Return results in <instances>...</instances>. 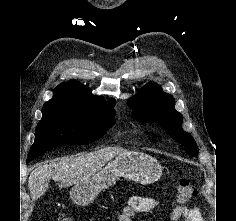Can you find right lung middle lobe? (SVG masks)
I'll return each mask as SVG.
<instances>
[{"label":"right lung middle lobe","instance_id":"obj_1","mask_svg":"<svg viewBox=\"0 0 236 221\" xmlns=\"http://www.w3.org/2000/svg\"><path fill=\"white\" fill-rule=\"evenodd\" d=\"M42 113L27 161L56 146L89 144L101 138L115 123L113 106L96 109L43 106Z\"/></svg>","mask_w":236,"mask_h":221}]
</instances>
